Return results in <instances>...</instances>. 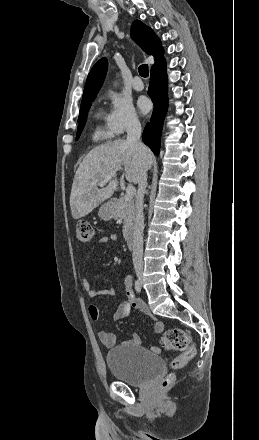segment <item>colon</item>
<instances>
[{
	"label": "colon",
	"mask_w": 259,
	"mask_h": 440,
	"mask_svg": "<svg viewBox=\"0 0 259 440\" xmlns=\"http://www.w3.org/2000/svg\"><path fill=\"white\" fill-rule=\"evenodd\" d=\"M76 237L80 243L86 244L91 242L94 237V230L89 222L81 221L76 228ZM161 344L167 350L180 351V355L175 357L171 366L173 369L184 367L196 354V348L189 334L180 329L173 328L167 330L161 338ZM174 374H168L161 383V388H168L174 381Z\"/></svg>",
	"instance_id": "5ec220e1"
}]
</instances>
